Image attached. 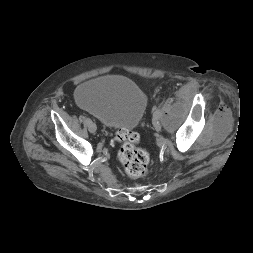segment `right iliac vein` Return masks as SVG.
Instances as JSON below:
<instances>
[{"label": "right iliac vein", "mask_w": 253, "mask_h": 253, "mask_svg": "<svg viewBox=\"0 0 253 253\" xmlns=\"http://www.w3.org/2000/svg\"><path fill=\"white\" fill-rule=\"evenodd\" d=\"M88 129H89L90 132L94 133V132H96L97 127H96V125L91 121V122L88 124Z\"/></svg>", "instance_id": "63e3f726"}]
</instances>
